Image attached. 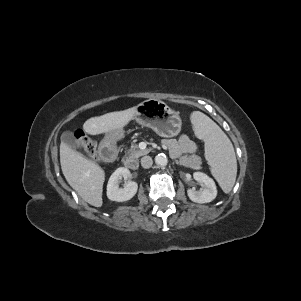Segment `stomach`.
I'll return each instance as SVG.
<instances>
[{"instance_id":"obj_1","label":"stomach","mask_w":301,"mask_h":301,"mask_svg":"<svg viewBox=\"0 0 301 301\" xmlns=\"http://www.w3.org/2000/svg\"><path fill=\"white\" fill-rule=\"evenodd\" d=\"M134 119L143 126L153 129L161 137H175L182 127V120L178 112L169 108L164 102L149 99L137 107ZM113 138V134H111Z\"/></svg>"}]
</instances>
